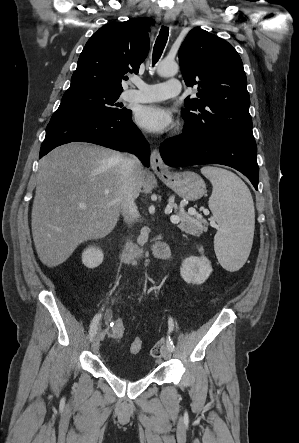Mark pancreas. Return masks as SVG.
<instances>
[{"label": "pancreas", "instance_id": "obj_1", "mask_svg": "<svg viewBox=\"0 0 299 443\" xmlns=\"http://www.w3.org/2000/svg\"><path fill=\"white\" fill-rule=\"evenodd\" d=\"M191 211H193V209L188 212H185L183 209L179 210L177 216L180 219V223L177 226L180 230L187 234L199 236L203 232L207 231L208 223L200 215L196 213L191 214Z\"/></svg>", "mask_w": 299, "mask_h": 443}]
</instances>
